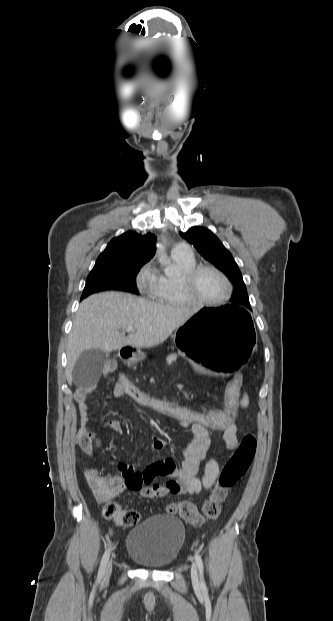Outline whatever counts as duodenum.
<instances>
[{
  "label": "duodenum",
  "instance_id": "410a0bca",
  "mask_svg": "<svg viewBox=\"0 0 333 621\" xmlns=\"http://www.w3.org/2000/svg\"><path fill=\"white\" fill-rule=\"evenodd\" d=\"M121 355L124 359H129L132 356V350L129 348H125L122 350Z\"/></svg>",
  "mask_w": 333,
  "mask_h": 621
}]
</instances>
